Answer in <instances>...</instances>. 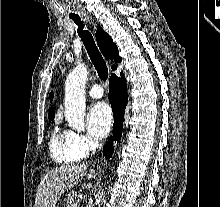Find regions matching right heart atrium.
I'll return each instance as SVG.
<instances>
[{"label":"right heart atrium","instance_id":"obj_1","mask_svg":"<svg viewBox=\"0 0 220 207\" xmlns=\"http://www.w3.org/2000/svg\"><path fill=\"white\" fill-rule=\"evenodd\" d=\"M70 132L76 144L85 152L93 147L94 143L88 136L78 132H73V131Z\"/></svg>","mask_w":220,"mask_h":207}]
</instances>
